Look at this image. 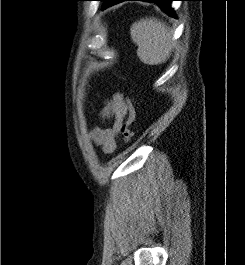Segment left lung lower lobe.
<instances>
[{"label":"left lung lower lobe","instance_id":"left-lung-lower-lobe-1","mask_svg":"<svg viewBox=\"0 0 245 265\" xmlns=\"http://www.w3.org/2000/svg\"><path fill=\"white\" fill-rule=\"evenodd\" d=\"M123 1H146V2H154L157 5H159L167 14H169L172 17H175V13L173 9H171V2L176 0H107L104 1L102 10L108 8L109 6H112L114 4L123 2Z\"/></svg>","mask_w":245,"mask_h":265}]
</instances>
